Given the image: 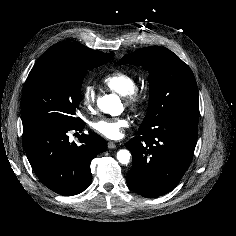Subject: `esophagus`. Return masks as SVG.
Here are the masks:
<instances>
[{"mask_svg":"<svg viewBox=\"0 0 236 236\" xmlns=\"http://www.w3.org/2000/svg\"><path fill=\"white\" fill-rule=\"evenodd\" d=\"M116 147L117 146H116V144L114 142H112V141L108 142V148L109 149H115Z\"/></svg>","mask_w":236,"mask_h":236,"instance_id":"1","label":"esophagus"}]
</instances>
